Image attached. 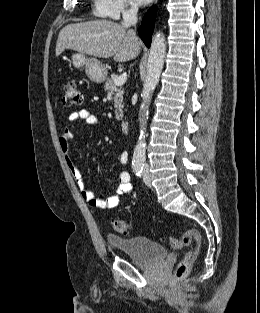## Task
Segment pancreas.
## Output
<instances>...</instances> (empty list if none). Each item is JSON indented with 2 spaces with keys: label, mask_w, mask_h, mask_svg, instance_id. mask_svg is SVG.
<instances>
[{
  "label": "pancreas",
  "mask_w": 260,
  "mask_h": 313,
  "mask_svg": "<svg viewBox=\"0 0 260 313\" xmlns=\"http://www.w3.org/2000/svg\"><path fill=\"white\" fill-rule=\"evenodd\" d=\"M118 77L116 74H112L111 77L105 78V85L104 89L107 92H111L114 97V108H115V115L117 120H121L123 117V90L119 88L118 86L114 85V80Z\"/></svg>",
  "instance_id": "obj_1"
}]
</instances>
